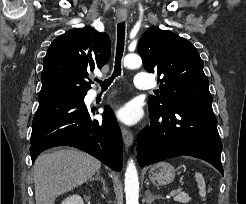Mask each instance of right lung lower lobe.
Segmentation results:
<instances>
[{"instance_id": "1", "label": "right lung lower lobe", "mask_w": 246, "mask_h": 204, "mask_svg": "<svg viewBox=\"0 0 246 204\" xmlns=\"http://www.w3.org/2000/svg\"><path fill=\"white\" fill-rule=\"evenodd\" d=\"M86 93H63L39 99L33 119L30 153L32 162L44 150L56 146H72L96 157L120 171L122 137L110 108L103 121L91 119L95 110L84 104Z\"/></svg>"}]
</instances>
